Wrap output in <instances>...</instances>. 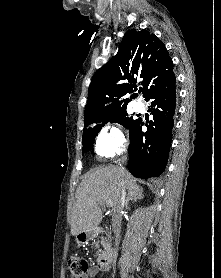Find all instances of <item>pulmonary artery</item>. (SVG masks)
<instances>
[{"label": "pulmonary artery", "instance_id": "e3ab8cb5", "mask_svg": "<svg viewBox=\"0 0 221 278\" xmlns=\"http://www.w3.org/2000/svg\"><path fill=\"white\" fill-rule=\"evenodd\" d=\"M133 107L136 111H142L143 110V105L140 102H135Z\"/></svg>", "mask_w": 221, "mask_h": 278}]
</instances>
